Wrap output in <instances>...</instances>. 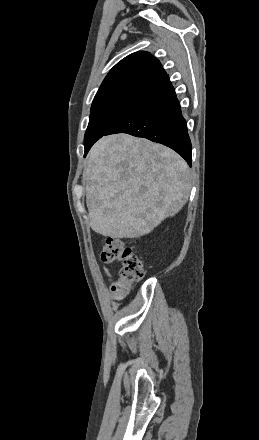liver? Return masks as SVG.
I'll use <instances>...</instances> for the list:
<instances>
[{
  "label": "liver",
  "mask_w": 259,
  "mask_h": 440,
  "mask_svg": "<svg viewBox=\"0 0 259 440\" xmlns=\"http://www.w3.org/2000/svg\"><path fill=\"white\" fill-rule=\"evenodd\" d=\"M90 226L103 236L140 238L186 204L191 176L172 149L116 134L98 140L84 169Z\"/></svg>",
  "instance_id": "liver-1"
}]
</instances>
